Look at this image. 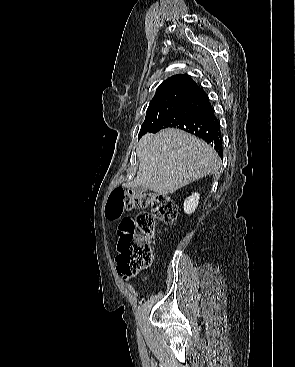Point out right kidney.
Segmentation results:
<instances>
[{
  "instance_id": "right-kidney-1",
  "label": "right kidney",
  "mask_w": 295,
  "mask_h": 367,
  "mask_svg": "<svg viewBox=\"0 0 295 367\" xmlns=\"http://www.w3.org/2000/svg\"><path fill=\"white\" fill-rule=\"evenodd\" d=\"M200 195L198 193H193L190 197H188L184 202V212L188 215H191L197 208L199 204Z\"/></svg>"
}]
</instances>
